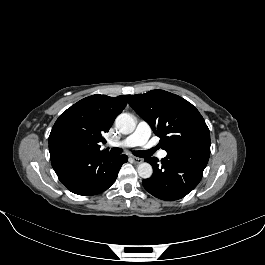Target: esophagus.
Instances as JSON below:
<instances>
[{
	"mask_svg": "<svg viewBox=\"0 0 265 265\" xmlns=\"http://www.w3.org/2000/svg\"><path fill=\"white\" fill-rule=\"evenodd\" d=\"M133 160H134V162L137 163V164H140V163L143 162V159H142V158L133 157Z\"/></svg>",
	"mask_w": 265,
	"mask_h": 265,
	"instance_id": "34e87169",
	"label": "esophagus"
}]
</instances>
